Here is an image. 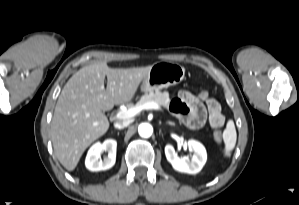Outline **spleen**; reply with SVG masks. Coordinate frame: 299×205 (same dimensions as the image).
Segmentation results:
<instances>
[{
    "label": "spleen",
    "mask_w": 299,
    "mask_h": 205,
    "mask_svg": "<svg viewBox=\"0 0 299 205\" xmlns=\"http://www.w3.org/2000/svg\"><path fill=\"white\" fill-rule=\"evenodd\" d=\"M223 140L225 144L223 156L228 158L231 156L237 140V133L232 120L227 123L226 129L223 132Z\"/></svg>",
    "instance_id": "1"
}]
</instances>
